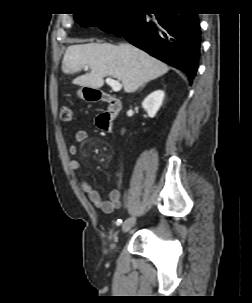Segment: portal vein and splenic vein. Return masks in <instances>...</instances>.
I'll return each mask as SVG.
<instances>
[{
	"label": "portal vein and splenic vein",
	"mask_w": 252,
	"mask_h": 303,
	"mask_svg": "<svg viewBox=\"0 0 252 303\" xmlns=\"http://www.w3.org/2000/svg\"><path fill=\"white\" fill-rule=\"evenodd\" d=\"M85 68H88V66H85ZM106 83L112 88L114 92H119L122 89V85L112 78H106Z\"/></svg>",
	"instance_id": "18ae733b"
}]
</instances>
